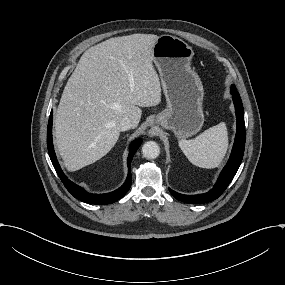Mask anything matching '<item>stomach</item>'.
I'll return each instance as SVG.
<instances>
[{
    "mask_svg": "<svg viewBox=\"0 0 285 285\" xmlns=\"http://www.w3.org/2000/svg\"><path fill=\"white\" fill-rule=\"evenodd\" d=\"M192 49L179 38L163 35L153 49L168 107L155 117L157 131L171 129L178 138L198 132L203 124V86L191 67Z\"/></svg>",
    "mask_w": 285,
    "mask_h": 285,
    "instance_id": "1",
    "label": "stomach"
}]
</instances>
